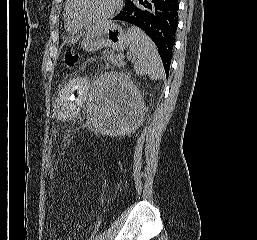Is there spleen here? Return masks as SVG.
Masks as SVG:
<instances>
[{"instance_id": "obj_1", "label": "spleen", "mask_w": 257, "mask_h": 240, "mask_svg": "<svg viewBox=\"0 0 257 240\" xmlns=\"http://www.w3.org/2000/svg\"><path fill=\"white\" fill-rule=\"evenodd\" d=\"M127 42L133 55V68L138 75H148L152 80L162 79L164 68L152 40L139 28L127 30Z\"/></svg>"}]
</instances>
